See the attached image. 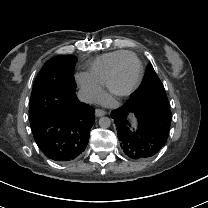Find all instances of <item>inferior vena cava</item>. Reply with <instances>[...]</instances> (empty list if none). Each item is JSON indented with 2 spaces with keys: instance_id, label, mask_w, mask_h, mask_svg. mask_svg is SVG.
I'll return each mask as SVG.
<instances>
[{
  "instance_id": "obj_1",
  "label": "inferior vena cava",
  "mask_w": 208,
  "mask_h": 208,
  "mask_svg": "<svg viewBox=\"0 0 208 208\" xmlns=\"http://www.w3.org/2000/svg\"><path fill=\"white\" fill-rule=\"evenodd\" d=\"M78 98L80 101L84 103H89V104L93 103V96L91 95L90 92L80 90L78 92Z\"/></svg>"
}]
</instances>
